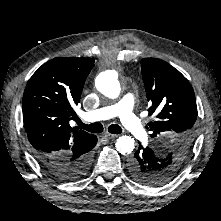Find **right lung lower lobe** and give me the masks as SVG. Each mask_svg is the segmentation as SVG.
<instances>
[{"mask_svg":"<svg viewBox=\"0 0 221 221\" xmlns=\"http://www.w3.org/2000/svg\"><path fill=\"white\" fill-rule=\"evenodd\" d=\"M96 143L97 137L91 149L95 147ZM90 150L81 155H73L68 161L39 155H35V157L42 167L54 177L62 180H74L83 176L89 170L91 166Z\"/></svg>","mask_w":221,"mask_h":221,"instance_id":"98d812e1","label":"right lung lower lobe"}]
</instances>
